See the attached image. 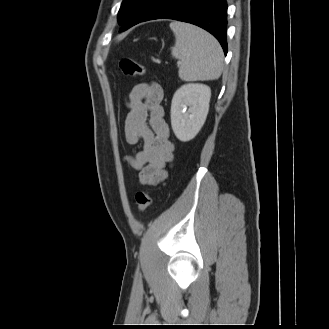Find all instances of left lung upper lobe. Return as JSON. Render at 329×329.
Listing matches in <instances>:
<instances>
[{
  "mask_svg": "<svg viewBox=\"0 0 329 329\" xmlns=\"http://www.w3.org/2000/svg\"><path fill=\"white\" fill-rule=\"evenodd\" d=\"M149 1L150 0H123L118 15V22L123 25L122 30L132 21L134 14Z\"/></svg>",
  "mask_w": 329,
  "mask_h": 329,
  "instance_id": "5c2ea615",
  "label": "left lung upper lobe"
}]
</instances>
